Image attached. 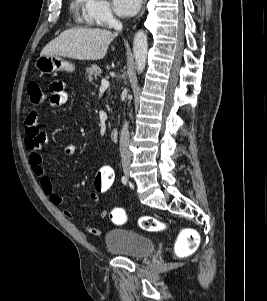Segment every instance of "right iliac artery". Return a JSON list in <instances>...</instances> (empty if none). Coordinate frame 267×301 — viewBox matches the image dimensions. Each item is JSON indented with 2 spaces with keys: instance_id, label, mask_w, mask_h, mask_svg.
<instances>
[{
  "instance_id": "1",
  "label": "right iliac artery",
  "mask_w": 267,
  "mask_h": 301,
  "mask_svg": "<svg viewBox=\"0 0 267 301\" xmlns=\"http://www.w3.org/2000/svg\"><path fill=\"white\" fill-rule=\"evenodd\" d=\"M121 181H122V183H123L124 185L127 184V178H126L125 176H123V177L121 178Z\"/></svg>"
}]
</instances>
